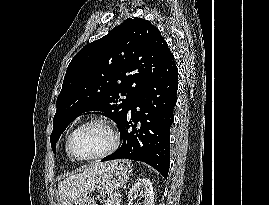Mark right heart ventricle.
Listing matches in <instances>:
<instances>
[{"mask_svg": "<svg viewBox=\"0 0 269 205\" xmlns=\"http://www.w3.org/2000/svg\"><path fill=\"white\" fill-rule=\"evenodd\" d=\"M66 145H67V139H66V142H65V148H66ZM66 152H67V149H66ZM67 155H68V153H67ZM69 156V155H68ZM69 158H71L70 156H69ZM72 159V158H71Z\"/></svg>", "mask_w": 269, "mask_h": 205, "instance_id": "obj_1", "label": "right heart ventricle"}]
</instances>
